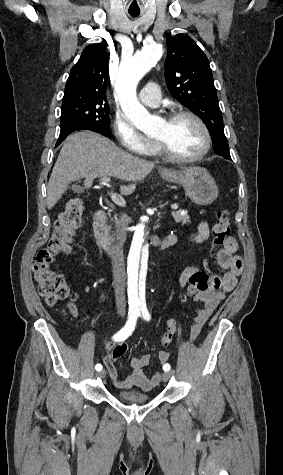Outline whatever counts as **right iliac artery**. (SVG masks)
Segmentation results:
<instances>
[{"mask_svg":"<svg viewBox=\"0 0 283 475\" xmlns=\"http://www.w3.org/2000/svg\"><path fill=\"white\" fill-rule=\"evenodd\" d=\"M138 316H139V312H135V311L129 312L128 321L126 322V325L119 332H117V334L113 336V340L114 341L126 340L134 331ZM102 368L103 367L101 364H97L95 366V369L97 371H101Z\"/></svg>","mask_w":283,"mask_h":475,"instance_id":"obj_1","label":"right iliac artery"}]
</instances>
